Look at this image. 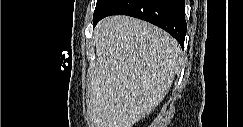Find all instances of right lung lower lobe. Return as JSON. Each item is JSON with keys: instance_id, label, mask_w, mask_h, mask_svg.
I'll return each mask as SVG.
<instances>
[{"instance_id": "obj_1", "label": "right lung lower lobe", "mask_w": 243, "mask_h": 127, "mask_svg": "<svg viewBox=\"0 0 243 127\" xmlns=\"http://www.w3.org/2000/svg\"><path fill=\"white\" fill-rule=\"evenodd\" d=\"M118 14L150 22L166 30L184 46L187 31L184 0H108L93 16V25L106 16Z\"/></svg>"}]
</instances>
